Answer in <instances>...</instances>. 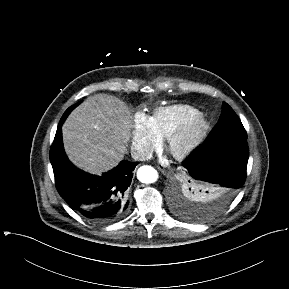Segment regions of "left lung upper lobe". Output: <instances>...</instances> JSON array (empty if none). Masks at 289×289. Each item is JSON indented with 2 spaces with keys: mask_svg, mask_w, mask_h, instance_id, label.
<instances>
[{
  "mask_svg": "<svg viewBox=\"0 0 289 289\" xmlns=\"http://www.w3.org/2000/svg\"><path fill=\"white\" fill-rule=\"evenodd\" d=\"M246 131L232 108L223 103L222 113L216 126L206 138V144L227 139H246ZM182 197L174 205L176 214L191 221H206L220 211L214 210L213 195L205 191L203 186L184 184Z\"/></svg>",
  "mask_w": 289,
  "mask_h": 289,
  "instance_id": "5c2ea615",
  "label": "left lung upper lobe"
}]
</instances>
